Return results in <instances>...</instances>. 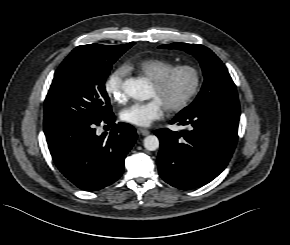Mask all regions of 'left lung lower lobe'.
<instances>
[{
  "instance_id": "1",
  "label": "left lung lower lobe",
  "mask_w": 290,
  "mask_h": 245,
  "mask_svg": "<svg viewBox=\"0 0 290 245\" xmlns=\"http://www.w3.org/2000/svg\"><path fill=\"white\" fill-rule=\"evenodd\" d=\"M239 114L205 107L176 115L171 124L190 130L154 131L160 139L158 170L164 181L179 189L201 187L227 166L238 138Z\"/></svg>"
}]
</instances>
